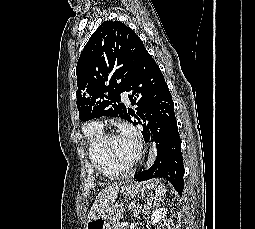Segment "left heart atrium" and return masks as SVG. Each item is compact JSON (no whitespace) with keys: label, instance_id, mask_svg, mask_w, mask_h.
Wrapping results in <instances>:
<instances>
[{"label":"left heart atrium","instance_id":"obj_1","mask_svg":"<svg viewBox=\"0 0 255 229\" xmlns=\"http://www.w3.org/2000/svg\"><path fill=\"white\" fill-rule=\"evenodd\" d=\"M120 136L128 143L137 146V136L133 128L124 127Z\"/></svg>","mask_w":255,"mask_h":229}]
</instances>
